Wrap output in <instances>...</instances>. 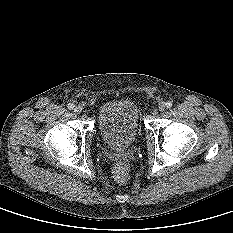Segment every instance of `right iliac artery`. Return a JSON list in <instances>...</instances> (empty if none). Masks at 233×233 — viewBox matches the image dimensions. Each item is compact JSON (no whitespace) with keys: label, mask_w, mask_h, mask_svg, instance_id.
I'll return each mask as SVG.
<instances>
[{"label":"right iliac artery","mask_w":233,"mask_h":233,"mask_svg":"<svg viewBox=\"0 0 233 233\" xmlns=\"http://www.w3.org/2000/svg\"><path fill=\"white\" fill-rule=\"evenodd\" d=\"M67 107L68 109L72 110L74 108V105L72 103H69Z\"/></svg>","instance_id":"obj_1"}]
</instances>
